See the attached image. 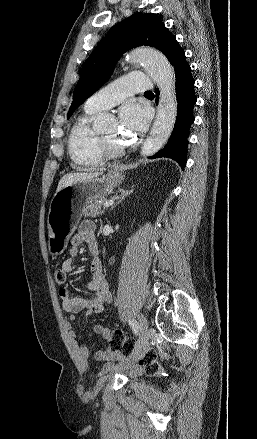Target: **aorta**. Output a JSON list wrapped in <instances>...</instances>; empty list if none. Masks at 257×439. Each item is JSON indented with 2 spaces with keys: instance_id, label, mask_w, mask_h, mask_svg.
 Segmentation results:
<instances>
[{
  "instance_id": "1",
  "label": "aorta",
  "mask_w": 257,
  "mask_h": 439,
  "mask_svg": "<svg viewBox=\"0 0 257 439\" xmlns=\"http://www.w3.org/2000/svg\"><path fill=\"white\" fill-rule=\"evenodd\" d=\"M126 61L142 64L160 91L156 120L141 149L142 156H151L167 142L176 121L174 69L164 54L152 48L136 49L127 55ZM112 120L109 114H99L94 119L93 127L97 131L104 130Z\"/></svg>"
}]
</instances>
